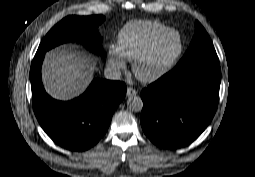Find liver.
Returning <instances> with one entry per match:
<instances>
[{"label": "liver", "mask_w": 255, "mask_h": 177, "mask_svg": "<svg viewBox=\"0 0 255 177\" xmlns=\"http://www.w3.org/2000/svg\"><path fill=\"white\" fill-rule=\"evenodd\" d=\"M96 64L75 46H59L47 52L42 78L46 91L59 100L80 95L93 78Z\"/></svg>", "instance_id": "6515ba94"}]
</instances>
